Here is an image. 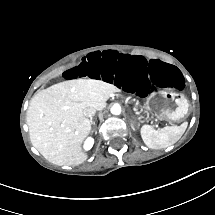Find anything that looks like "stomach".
<instances>
[{"label": "stomach", "instance_id": "0dacf381", "mask_svg": "<svg viewBox=\"0 0 215 215\" xmlns=\"http://www.w3.org/2000/svg\"><path fill=\"white\" fill-rule=\"evenodd\" d=\"M188 108L184 95L170 91L156 92L146 102L148 112L160 120L181 121L186 118Z\"/></svg>", "mask_w": 215, "mask_h": 215}]
</instances>
